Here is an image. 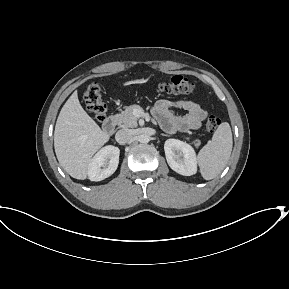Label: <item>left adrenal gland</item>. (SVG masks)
Masks as SVG:
<instances>
[{
    "label": "left adrenal gland",
    "instance_id": "a2214340",
    "mask_svg": "<svg viewBox=\"0 0 289 289\" xmlns=\"http://www.w3.org/2000/svg\"><path fill=\"white\" fill-rule=\"evenodd\" d=\"M161 135H162V136H167V137L169 136V135H167V134H164V133H162Z\"/></svg>",
    "mask_w": 289,
    "mask_h": 289
}]
</instances>
